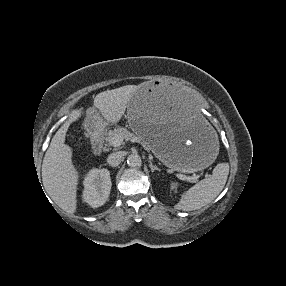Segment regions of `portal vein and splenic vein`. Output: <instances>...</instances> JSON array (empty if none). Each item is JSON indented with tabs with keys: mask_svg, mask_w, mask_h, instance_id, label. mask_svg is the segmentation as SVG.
I'll return each instance as SVG.
<instances>
[{
	"mask_svg": "<svg viewBox=\"0 0 286 286\" xmlns=\"http://www.w3.org/2000/svg\"><path fill=\"white\" fill-rule=\"evenodd\" d=\"M123 142V137L121 136H116L113 138V141H112V145L113 147H119ZM177 176L181 179V180H184V181H191V180H195V178H192V177H189V176H186L184 174H177Z\"/></svg>",
	"mask_w": 286,
	"mask_h": 286,
	"instance_id": "1",
	"label": "portal vein and splenic vein"
}]
</instances>
